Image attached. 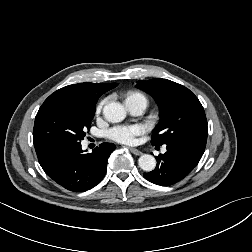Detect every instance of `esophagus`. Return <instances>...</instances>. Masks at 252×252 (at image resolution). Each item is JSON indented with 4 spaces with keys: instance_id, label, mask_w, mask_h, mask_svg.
<instances>
[{
    "instance_id": "34e87169",
    "label": "esophagus",
    "mask_w": 252,
    "mask_h": 252,
    "mask_svg": "<svg viewBox=\"0 0 252 252\" xmlns=\"http://www.w3.org/2000/svg\"><path fill=\"white\" fill-rule=\"evenodd\" d=\"M131 153H133L134 155H142V152L136 148H129Z\"/></svg>"
}]
</instances>
